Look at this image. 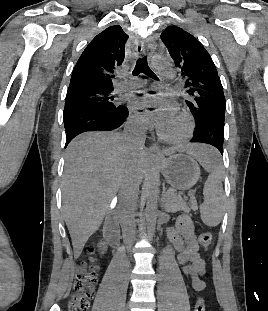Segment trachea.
Listing matches in <instances>:
<instances>
[{"label": "trachea", "instance_id": "1", "mask_svg": "<svg viewBox=\"0 0 268 311\" xmlns=\"http://www.w3.org/2000/svg\"><path fill=\"white\" fill-rule=\"evenodd\" d=\"M140 73H144L147 76L158 80V77L154 74V72L149 68L148 63H147V58L146 56L139 58L136 62V66L133 70V75L137 76Z\"/></svg>", "mask_w": 268, "mask_h": 311}]
</instances>
